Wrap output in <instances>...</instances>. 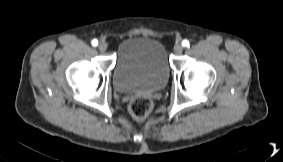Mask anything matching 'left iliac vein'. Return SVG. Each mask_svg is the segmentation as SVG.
<instances>
[{"instance_id":"1","label":"left iliac vein","mask_w":283,"mask_h":162,"mask_svg":"<svg viewBox=\"0 0 283 162\" xmlns=\"http://www.w3.org/2000/svg\"><path fill=\"white\" fill-rule=\"evenodd\" d=\"M183 51V46L181 43H176L175 46H174V52L175 54H181Z\"/></svg>"}]
</instances>
